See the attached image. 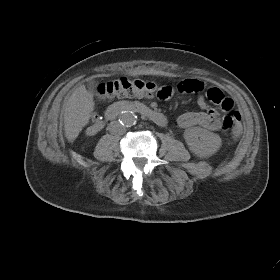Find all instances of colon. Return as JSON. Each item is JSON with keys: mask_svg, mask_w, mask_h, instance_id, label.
Returning a JSON list of instances; mask_svg holds the SVG:
<instances>
[{"mask_svg": "<svg viewBox=\"0 0 280 280\" xmlns=\"http://www.w3.org/2000/svg\"><path fill=\"white\" fill-rule=\"evenodd\" d=\"M98 93L107 98L157 96L161 100H167L171 97L173 89L170 86H158L151 81L122 77L101 84L98 87ZM206 96L210 102L219 105L227 113L222 121V129L230 130L234 139L239 138L242 135L243 127L239 112L233 110L232 99L225 97L217 88H210Z\"/></svg>", "mask_w": 280, "mask_h": 280, "instance_id": "5ec220e1", "label": "colon"}]
</instances>
